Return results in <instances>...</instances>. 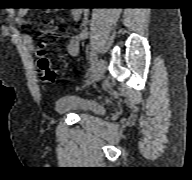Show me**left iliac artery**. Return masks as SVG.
<instances>
[{
	"instance_id": "1",
	"label": "left iliac artery",
	"mask_w": 192,
	"mask_h": 180,
	"mask_svg": "<svg viewBox=\"0 0 192 180\" xmlns=\"http://www.w3.org/2000/svg\"><path fill=\"white\" fill-rule=\"evenodd\" d=\"M90 60H91V68L90 71H93L95 66H96V57H95V53L94 52H90Z\"/></svg>"
}]
</instances>
